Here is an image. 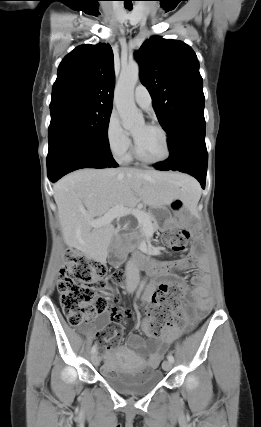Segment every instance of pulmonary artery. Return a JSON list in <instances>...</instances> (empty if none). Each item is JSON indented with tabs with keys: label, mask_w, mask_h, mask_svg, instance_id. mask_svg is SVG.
Instances as JSON below:
<instances>
[{
	"label": "pulmonary artery",
	"mask_w": 261,
	"mask_h": 427,
	"mask_svg": "<svg viewBox=\"0 0 261 427\" xmlns=\"http://www.w3.org/2000/svg\"><path fill=\"white\" fill-rule=\"evenodd\" d=\"M135 102L143 109H149L152 105V97L144 85H138L134 91Z\"/></svg>",
	"instance_id": "1"
}]
</instances>
